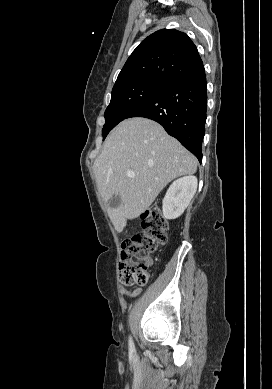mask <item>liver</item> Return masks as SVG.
Returning a JSON list of instances; mask_svg holds the SVG:
<instances>
[{
    "label": "liver",
    "mask_w": 272,
    "mask_h": 389,
    "mask_svg": "<svg viewBox=\"0 0 272 389\" xmlns=\"http://www.w3.org/2000/svg\"><path fill=\"white\" fill-rule=\"evenodd\" d=\"M196 170L197 160L189 151L161 125L141 117L119 123L94 161L103 201L108 203L114 195L121 198L119 207H109L118 232L123 231L127 219L139 217L169 182ZM128 171L135 177H128Z\"/></svg>",
    "instance_id": "obj_1"
}]
</instances>
